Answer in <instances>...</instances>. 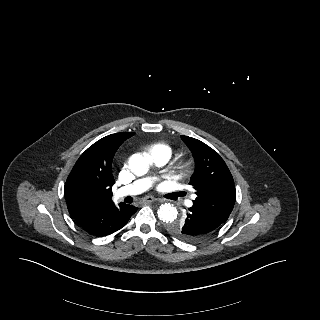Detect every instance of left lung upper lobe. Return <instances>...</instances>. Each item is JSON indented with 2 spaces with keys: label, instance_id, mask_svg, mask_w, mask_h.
<instances>
[{
  "label": "left lung upper lobe",
  "instance_id": "obj_1",
  "mask_svg": "<svg viewBox=\"0 0 320 320\" xmlns=\"http://www.w3.org/2000/svg\"><path fill=\"white\" fill-rule=\"evenodd\" d=\"M195 159V171L189 184L196 190L193 206L224 223L234 207L236 191L233 177L220 155L203 142L181 136ZM169 230L183 241H197L183 229V221H175Z\"/></svg>",
  "mask_w": 320,
  "mask_h": 320
}]
</instances>
